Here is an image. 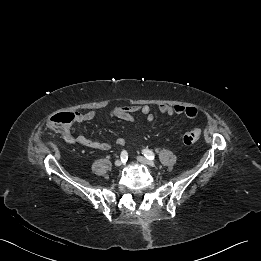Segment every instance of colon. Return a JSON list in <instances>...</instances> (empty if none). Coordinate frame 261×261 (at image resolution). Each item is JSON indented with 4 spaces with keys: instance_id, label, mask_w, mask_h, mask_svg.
Instances as JSON below:
<instances>
[{
    "instance_id": "colon-1",
    "label": "colon",
    "mask_w": 261,
    "mask_h": 261,
    "mask_svg": "<svg viewBox=\"0 0 261 261\" xmlns=\"http://www.w3.org/2000/svg\"><path fill=\"white\" fill-rule=\"evenodd\" d=\"M75 121L74 113L59 112L51 115L48 119L47 126L52 130H62L71 125ZM201 130L196 128L186 132L183 135V142L187 145L194 144L200 137Z\"/></svg>"
}]
</instances>
